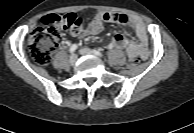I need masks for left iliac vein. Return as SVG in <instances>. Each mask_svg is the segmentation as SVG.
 <instances>
[{"label":"left iliac vein","mask_w":194,"mask_h":133,"mask_svg":"<svg viewBox=\"0 0 194 133\" xmlns=\"http://www.w3.org/2000/svg\"><path fill=\"white\" fill-rule=\"evenodd\" d=\"M79 53L81 55H94V56H96V54L89 48H82L79 50Z\"/></svg>","instance_id":"1"}]
</instances>
